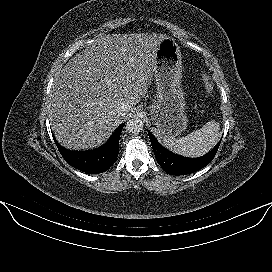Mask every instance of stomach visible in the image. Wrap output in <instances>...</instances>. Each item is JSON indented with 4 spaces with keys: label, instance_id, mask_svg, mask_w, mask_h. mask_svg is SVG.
I'll use <instances>...</instances> for the list:
<instances>
[{
    "label": "stomach",
    "instance_id": "0dacf381",
    "mask_svg": "<svg viewBox=\"0 0 272 272\" xmlns=\"http://www.w3.org/2000/svg\"><path fill=\"white\" fill-rule=\"evenodd\" d=\"M157 94L149 106L161 137L175 136L187 127L185 93L181 86L182 57L173 37L167 36L156 53Z\"/></svg>",
    "mask_w": 272,
    "mask_h": 272
}]
</instances>
